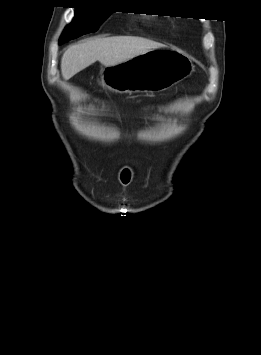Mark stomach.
Returning a JSON list of instances; mask_svg holds the SVG:
<instances>
[{
	"label": "stomach",
	"instance_id": "stomach-1",
	"mask_svg": "<svg viewBox=\"0 0 261 355\" xmlns=\"http://www.w3.org/2000/svg\"><path fill=\"white\" fill-rule=\"evenodd\" d=\"M193 71L190 57L162 46L102 69L100 84L117 93H153L168 89Z\"/></svg>",
	"mask_w": 261,
	"mask_h": 355
}]
</instances>
